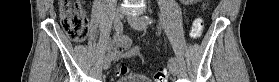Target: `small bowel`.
<instances>
[{
  "mask_svg": "<svg viewBox=\"0 0 279 82\" xmlns=\"http://www.w3.org/2000/svg\"><path fill=\"white\" fill-rule=\"evenodd\" d=\"M194 0H183L182 4H192ZM111 57L114 61H120L123 59H131L140 56V48L133 44L130 37L125 34L120 35L114 39L109 47Z\"/></svg>",
  "mask_w": 279,
  "mask_h": 82,
  "instance_id": "small-bowel-1",
  "label": "small bowel"
}]
</instances>
